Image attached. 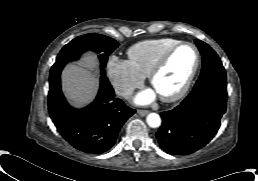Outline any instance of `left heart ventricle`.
Returning a JSON list of instances; mask_svg holds the SVG:
<instances>
[{
    "label": "left heart ventricle",
    "mask_w": 258,
    "mask_h": 181,
    "mask_svg": "<svg viewBox=\"0 0 258 181\" xmlns=\"http://www.w3.org/2000/svg\"><path fill=\"white\" fill-rule=\"evenodd\" d=\"M196 61L190 46L179 48L154 81L153 88L159 95H172L186 82Z\"/></svg>",
    "instance_id": "1"
}]
</instances>
